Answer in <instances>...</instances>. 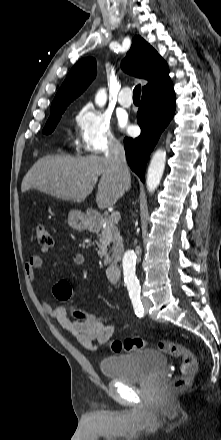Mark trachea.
<instances>
[{
	"mask_svg": "<svg viewBox=\"0 0 221 440\" xmlns=\"http://www.w3.org/2000/svg\"><path fill=\"white\" fill-rule=\"evenodd\" d=\"M141 85H137L133 90V99H140Z\"/></svg>",
	"mask_w": 221,
	"mask_h": 440,
	"instance_id": "1",
	"label": "trachea"
}]
</instances>
